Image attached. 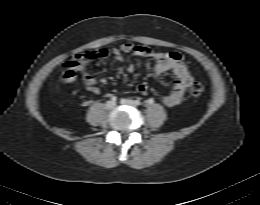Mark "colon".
Returning a JSON list of instances; mask_svg holds the SVG:
<instances>
[{
  "mask_svg": "<svg viewBox=\"0 0 260 205\" xmlns=\"http://www.w3.org/2000/svg\"><path fill=\"white\" fill-rule=\"evenodd\" d=\"M102 50L103 49L88 52V53L83 55V59H94V58H97V57H101L102 56ZM203 91H204V86L199 82L193 83L189 88V93L192 96H199L203 93Z\"/></svg>",
  "mask_w": 260,
  "mask_h": 205,
  "instance_id": "obj_1",
  "label": "colon"
}]
</instances>
